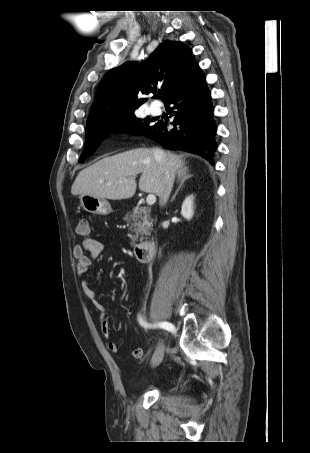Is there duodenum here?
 <instances>
[{
    "label": "duodenum",
    "instance_id": "1",
    "mask_svg": "<svg viewBox=\"0 0 310 453\" xmlns=\"http://www.w3.org/2000/svg\"><path fill=\"white\" fill-rule=\"evenodd\" d=\"M154 253L155 244L152 240L140 242L134 249L136 259L141 263L150 261L153 258Z\"/></svg>",
    "mask_w": 310,
    "mask_h": 453
}]
</instances>
